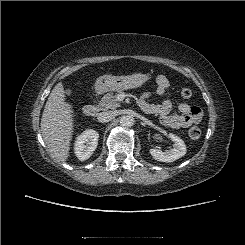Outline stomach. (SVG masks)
<instances>
[{
    "mask_svg": "<svg viewBox=\"0 0 245 245\" xmlns=\"http://www.w3.org/2000/svg\"><path fill=\"white\" fill-rule=\"evenodd\" d=\"M150 77L147 74L137 73L126 76L103 75L97 78L95 90L98 93L108 91L127 90L142 87L148 82Z\"/></svg>",
    "mask_w": 245,
    "mask_h": 245,
    "instance_id": "1",
    "label": "stomach"
}]
</instances>
